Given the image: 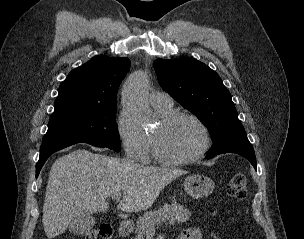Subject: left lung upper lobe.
<instances>
[{
    "label": "left lung upper lobe",
    "mask_w": 304,
    "mask_h": 239,
    "mask_svg": "<svg viewBox=\"0 0 304 239\" xmlns=\"http://www.w3.org/2000/svg\"><path fill=\"white\" fill-rule=\"evenodd\" d=\"M153 66L162 89L210 130L214 146L207 155L254 153L231 94L215 71L189 57L157 59Z\"/></svg>",
    "instance_id": "obj_1"
}]
</instances>
